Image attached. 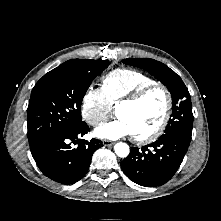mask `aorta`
Masks as SVG:
<instances>
[{
    "instance_id": "762f6f07",
    "label": "aorta",
    "mask_w": 221,
    "mask_h": 221,
    "mask_svg": "<svg viewBox=\"0 0 221 221\" xmlns=\"http://www.w3.org/2000/svg\"><path fill=\"white\" fill-rule=\"evenodd\" d=\"M114 150L117 156L124 158L129 154V146L126 143L119 142L114 146Z\"/></svg>"
}]
</instances>
